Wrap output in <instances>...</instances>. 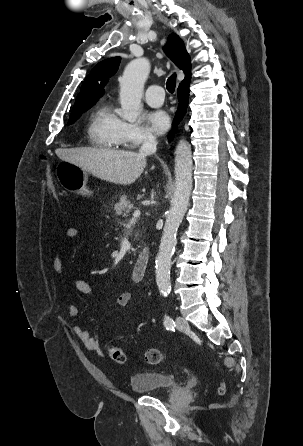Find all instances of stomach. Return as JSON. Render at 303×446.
<instances>
[{"label":"stomach","mask_w":303,"mask_h":446,"mask_svg":"<svg viewBox=\"0 0 303 446\" xmlns=\"http://www.w3.org/2000/svg\"><path fill=\"white\" fill-rule=\"evenodd\" d=\"M56 176L60 185L78 195L91 197L93 191L87 187L88 171L68 161H61L56 166Z\"/></svg>","instance_id":"1"}]
</instances>
